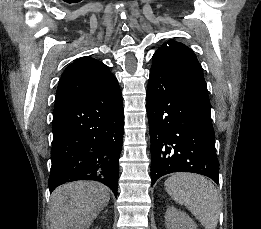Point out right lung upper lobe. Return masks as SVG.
<instances>
[{
	"mask_svg": "<svg viewBox=\"0 0 261 229\" xmlns=\"http://www.w3.org/2000/svg\"><path fill=\"white\" fill-rule=\"evenodd\" d=\"M113 76L108 67L91 57H82L64 71L56 92L54 115L95 91Z\"/></svg>",
	"mask_w": 261,
	"mask_h": 229,
	"instance_id": "cb5924a9",
	"label": "right lung upper lobe"
}]
</instances>
